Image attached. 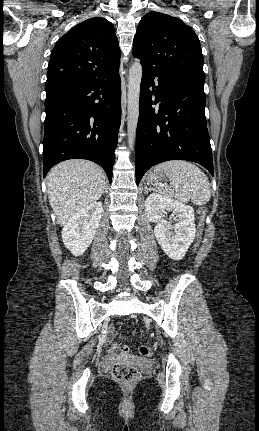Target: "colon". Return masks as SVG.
Segmentation results:
<instances>
[{
    "instance_id": "5ec220e1",
    "label": "colon",
    "mask_w": 259,
    "mask_h": 431,
    "mask_svg": "<svg viewBox=\"0 0 259 431\" xmlns=\"http://www.w3.org/2000/svg\"><path fill=\"white\" fill-rule=\"evenodd\" d=\"M206 208H199L198 210V229L196 234V240L194 244V252H196L199 249L202 237H203V231L205 226V216H206ZM125 331H130L129 326H125ZM116 350H119L122 353H127L129 351V347L126 345L118 346L116 343H114L111 346V351L114 352ZM139 354L145 358L152 356V349L149 346L143 345L139 348ZM111 374L113 378L119 382L130 384L134 383L138 380L140 377V372L137 368L123 364V363H117L112 367Z\"/></svg>"
}]
</instances>
